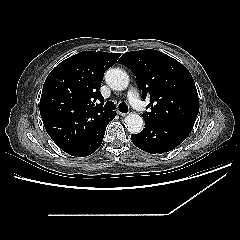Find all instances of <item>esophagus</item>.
<instances>
[{
	"label": "esophagus",
	"instance_id": "1",
	"mask_svg": "<svg viewBox=\"0 0 240 240\" xmlns=\"http://www.w3.org/2000/svg\"><path fill=\"white\" fill-rule=\"evenodd\" d=\"M117 114L120 115V116H125L126 115V113H123L121 111H117Z\"/></svg>",
	"mask_w": 240,
	"mask_h": 240
}]
</instances>
